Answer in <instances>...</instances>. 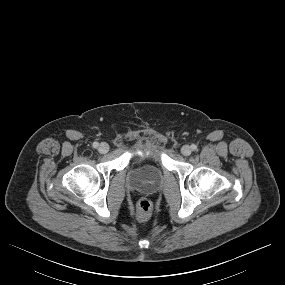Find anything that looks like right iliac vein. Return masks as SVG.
<instances>
[{
  "instance_id": "obj_1",
  "label": "right iliac vein",
  "mask_w": 285,
  "mask_h": 285,
  "mask_svg": "<svg viewBox=\"0 0 285 285\" xmlns=\"http://www.w3.org/2000/svg\"><path fill=\"white\" fill-rule=\"evenodd\" d=\"M98 151L101 153V154H105L109 151V145L105 142H102L99 147H98Z\"/></svg>"
}]
</instances>
